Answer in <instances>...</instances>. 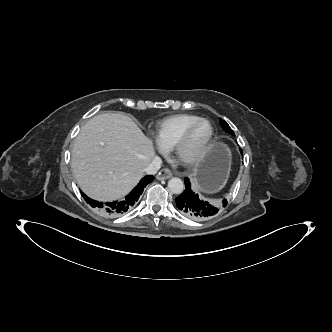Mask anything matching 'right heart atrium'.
Segmentation results:
<instances>
[{
    "label": "right heart atrium",
    "mask_w": 332,
    "mask_h": 332,
    "mask_svg": "<svg viewBox=\"0 0 332 332\" xmlns=\"http://www.w3.org/2000/svg\"><path fill=\"white\" fill-rule=\"evenodd\" d=\"M157 148L160 152H162V153L165 152V149L162 146H160L159 144H157Z\"/></svg>",
    "instance_id": "obj_1"
}]
</instances>
